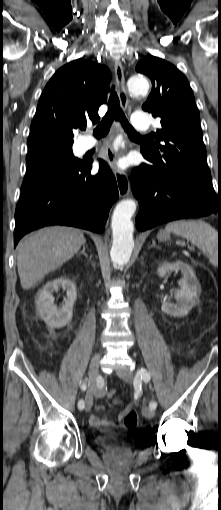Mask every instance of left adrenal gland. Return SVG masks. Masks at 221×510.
Wrapping results in <instances>:
<instances>
[{"instance_id":"1","label":"left adrenal gland","mask_w":221,"mask_h":510,"mask_svg":"<svg viewBox=\"0 0 221 510\" xmlns=\"http://www.w3.org/2000/svg\"><path fill=\"white\" fill-rule=\"evenodd\" d=\"M152 247H156V248H158V249H159V246H157V245H156V242H155V241H152V245H151V247H150V248H152Z\"/></svg>"}]
</instances>
